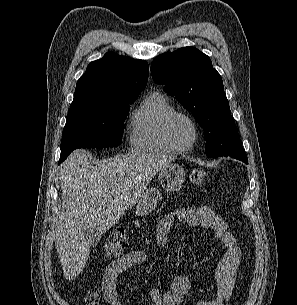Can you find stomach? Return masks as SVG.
Listing matches in <instances>:
<instances>
[{
    "label": "stomach",
    "instance_id": "0dacf381",
    "mask_svg": "<svg viewBox=\"0 0 297 305\" xmlns=\"http://www.w3.org/2000/svg\"><path fill=\"white\" fill-rule=\"evenodd\" d=\"M158 179L166 191H177L185 180V170L179 164H169L166 168L159 171ZM160 200L161 194L157 188H147L138 202L136 215L143 216L149 214L155 209Z\"/></svg>",
    "mask_w": 297,
    "mask_h": 305
}]
</instances>
